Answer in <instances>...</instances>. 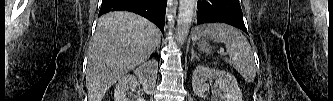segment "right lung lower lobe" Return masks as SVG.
Listing matches in <instances>:
<instances>
[{
  "mask_svg": "<svg viewBox=\"0 0 333 101\" xmlns=\"http://www.w3.org/2000/svg\"><path fill=\"white\" fill-rule=\"evenodd\" d=\"M167 0H102L99 15L110 11H130L139 14L158 26L164 34Z\"/></svg>",
  "mask_w": 333,
  "mask_h": 101,
  "instance_id": "1",
  "label": "right lung lower lobe"
}]
</instances>
